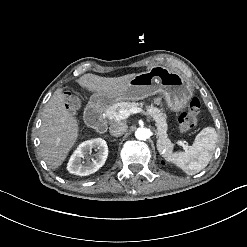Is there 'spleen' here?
Masks as SVG:
<instances>
[{"label":"spleen","mask_w":247,"mask_h":247,"mask_svg":"<svg viewBox=\"0 0 247 247\" xmlns=\"http://www.w3.org/2000/svg\"><path fill=\"white\" fill-rule=\"evenodd\" d=\"M217 143V133L214 127H206L196 136L194 144L175 155H167L189 175L199 173L212 158V150Z\"/></svg>","instance_id":"spleen-1"}]
</instances>
